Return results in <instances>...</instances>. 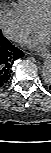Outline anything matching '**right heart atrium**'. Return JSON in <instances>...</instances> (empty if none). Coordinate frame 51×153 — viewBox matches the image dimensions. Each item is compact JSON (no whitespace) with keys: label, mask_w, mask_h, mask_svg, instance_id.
<instances>
[{"label":"right heart atrium","mask_w":51,"mask_h":153,"mask_svg":"<svg viewBox=\"0 0 51 153\" xmlns=\"http://www.w3.org/2000/svg\"><path fill=\"white\" fill-rule=\"evenodd\" d=\"M0 27L7 38L19 41L34 29V23L24 16L17 5L2 4Z\"/></svg>","instance_id":"d8ad5b80"}]
</instances>
